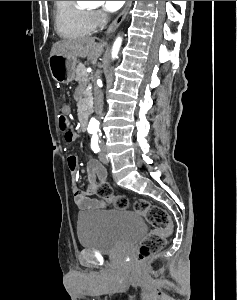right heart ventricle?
I'll list each match as a JSON object with an SVG mask.
<instances>
[{"label": "right heart ventricle", "mask_w": 237, "mask_h": 300, "mask_svg": "<svg viewBox=\"0 0 237 300\" xmlns=\"http://www.w3.org/2000/svg\"><path fill=\"white\" fill-rule=\"evenodd\" d=\"M55 25L63 37L81 36L91 32V12L77 1H54Z\"/></svg>", "instance_id": "obj_1"}]
</instances>
